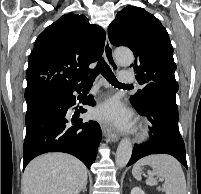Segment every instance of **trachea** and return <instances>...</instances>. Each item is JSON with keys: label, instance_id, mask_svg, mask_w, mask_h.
Returning <instances> with one entry per match:
<instances>
[{"label": "trachea", "instance_id": "obj_1", "mask_svg": "<svg viewBox=\"0 0 201 194\" xmlns=\"http://www.w3.org/2000/svg\"><path fill=\"white\" fill-rule=\"evenodd\" d=\"M102 74V76L113 86L115 87H125V86H131V85H126V84H122L120 83L114 73L112 72V70L110 69V67L108 66V64L105 62V60L102 58L98 61L97 66L95 67L89 81L86 83L85 88L86 89H90L92 87L94 78L99 75Z\"/></svg>", "mask_w": 201, "mask_h": 194}]
</instances>
